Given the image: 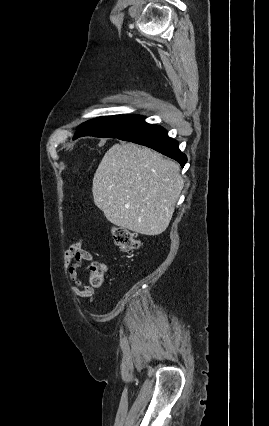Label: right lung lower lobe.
I'll list each match as a JSON object with an SVG mask.
<instances>
[{"label": "right lung lower lobe", "mask_w": 269, "mask_h": 426, "mask_svg": "<svg viewBox=\"0 0 269 426\" xmlns=\"http://www.w3.org/2000/svg\"><path fill=\"white\" fill-rule=\"evenodd\" d=\"M118 139L150 147L178 161L182 167L187 162L186 155L179 150L178 142L168 137L161 126L143 122L135 130Z\"/></svg>", "instance_id": "1"}]
</instances>
